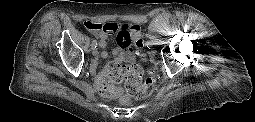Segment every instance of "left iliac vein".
I'll list each match as a JSON object with an SVG mask.
<instances>
[{"label": "left iliac vein", "mask_w": 255, "mask_h": 122, "mask_svg": "<svg viewBox=\"0 0 255 122\" xmlns=\"http://www.w3.org/2000/svg\"><path fill=\"white\" fill-rule=\"evenodd\" d=\"M149 54H150V56L154 57L155 54H156V51L155 50H151Z\"/></svg>", "instance_id": "4c4485c4"}]
</instances>
